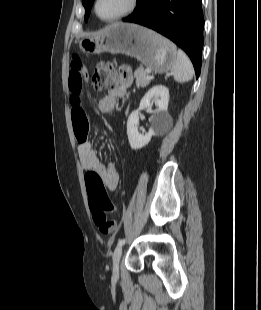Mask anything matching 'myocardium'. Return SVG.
I'll return each instance as SVG.
<instances>
[{
  "mask_svg": "<svg viewBox=\"0 0 261 310\" xmlns=\"http://www.w3.org/2000/svg\"><path fill=\"white\" fill-rule=\"evenodd\" d=\"M100 0H95L93 3V11L95 16L101 20L102 22L105 23H113L116 21H119L123 18H126L127 16H129L130 14H132L134 12V10L137 7L138 4V0H127V5L125 7V9L123 11H121L120 13H118L117 15L110 17V18H104L102 17L99 12H98V4H99Z\"/></svg>",
  "mask_w": 261,
  "mask_h": 310,
  "instance_id": "1",
  "label": "myocardium"
}]
</instances>
